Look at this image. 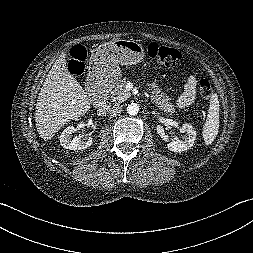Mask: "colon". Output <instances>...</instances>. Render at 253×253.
<instances>
[{"instance_id": "obj_1", "label": "colon", "mask_w": 253, "mask_h": 253, "mask_svg": "<svg viewBox=\"0 0 253 253\" xmlns=\"http://www.w3.org/2000/svg\"><path fill=\"white\" fill-rule=\"evenodd\" d=\"M147 55L159 62L160 64L172 67L177 64L181 58V53L177 49L167 46L151 43L147 47ZM87 57V50L82 45L74 46L70 51V58L68 61V69L74 76H80L84 72V61ZM200 95L204 99H209L212 96L213 90L210 82L202 79L199 82Z\"/></svg>"}]
</instances>
